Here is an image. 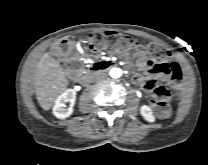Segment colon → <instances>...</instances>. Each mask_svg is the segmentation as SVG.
<instances>
[{
  "label": "colon",
  "instance_id": "1",
  "mask_svg": "<svg viewBox=\"0 0 208 165\" xmlns=\"http://www.w3.org/2000/svg\"><path fill=\"white\" fill-rule=\"evenodd\" d=\"M90 41L95 49H103L107 47L120 52L136 48L139 45L138 42L129 35L113 31L94 33L91 36ZM145 48L148 50L151 60H167L170 56L169 50L160 44L151 43L146 45ZM52 52L58 57H68L72 53L71 43L65 39L60 40L53 46ZM154 93L155 95L152 100V105L155 112L159 116L167 115L170 105L169 91L165 87L159 86L155 89Z\"/></svg>",
  "mask_w": 208,
  "mask_h": 165
}]
</instances>
